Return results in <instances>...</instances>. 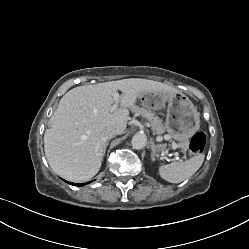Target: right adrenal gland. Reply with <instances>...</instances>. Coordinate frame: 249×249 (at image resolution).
<instances>
[{"label":"right adrenal gland","mask_w":249,"mask_h":249,"mask_svg":"<svg viewBox=\"0 0 249 249\" xmlns=\"http://www.w3.org/2000/svg\"><path fill=\"white\" fill-rule=\"evenodd\" d=\"M108 146V142L105 143V147H104V150H103V156L105 155V152H106V147Z\"/></svg>","instance_id":"obj_1"}]
</instances>
